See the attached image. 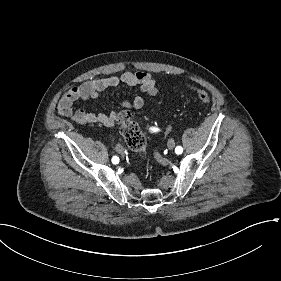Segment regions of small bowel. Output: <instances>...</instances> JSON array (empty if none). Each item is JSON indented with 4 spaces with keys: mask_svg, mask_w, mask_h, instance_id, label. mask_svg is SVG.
Segmentation results:
<instances>
[{
    "mask_svg": "<svg viewBox=\"0 0 281 281\" xmlns=\"http://www.w3.org/2000/svg\"><path fill=\"white\" fill-rule=\"evenodd\" d=\"M121 83L129 86H138L142 93L153 96L152 91L156 88L153 76L144 71H124L120 75H112L106 78L88 80L78 86L67 90L61 97L58 104L60 115L70 118L78 124L101 123L105 126H112L118 121L123 113H130L131 109H141L144 106V99L136 95L132 101H125L120 108L108 112H92L82 109H75L74 103L77 100H88L99 96L105 90L115 88Z\"/></svg>",
    "mask_w": 281,
    "mask_h": 281,
    "instance_id": "small-bowel-1",
    "label": "small bowel"
}]
</instances>
